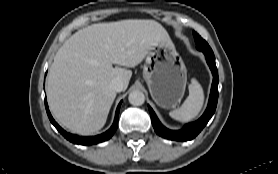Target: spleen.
Here are the masks:
<instances>
[{"instance_id":"3e777b00","label":"spleen","mask_w":278,"mask_h":174,"mask_svg":"<svg viewBox=\"0 0 278 174\" xmlns=\"http://www.w3.org/2000/svg\"><path fill=\"white\" fill-rule=\"evenodd\" d=\"M188 89L189 95L182 106L169 112L171 118L180 122L194 119L199 114L204 102L203 88L195 78L191 80Z\"/></svg>"}]
</instances>
